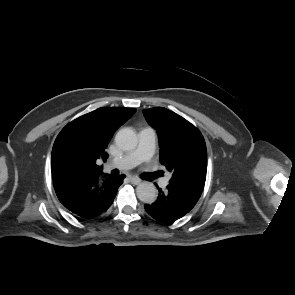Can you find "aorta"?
<instances>
[{"instance_id":"1","label":"aorta","mask_w":295,"mask_h":295,"mask_svg":"<svg viewBox=\"0 0 295 295\" xmlns=\"http://www.w3.org/2000/svg\"><path fill=\"white\" fill-rule=\"evenodd\" d=\"M115 143L123 150H133L138 144L137 135L131 128H122L115 136ZM136 194L138 199L146 204H152L157 199L156 187L151 182L140 183Z\"/></svg>"}]
</instances>
